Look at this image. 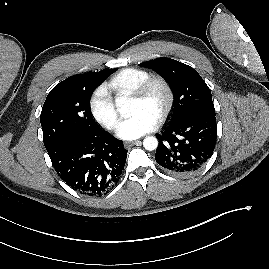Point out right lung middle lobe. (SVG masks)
<instances>
[{
	"label": "right lung middle lobe",
	"mask_w": 269,
	"mask_h": 269,
	"mask_svg": "<svg viewBox=\"0 0 269 269\" xmlns=\"http://www.w3.org/2000/svg\"><path fill=\"white\" fill-rule=\"evenodd\" d=\"M115 70L67 78L49 92L40 115L46 149L64 136L101 129L92 118L89 100L93 91Z\"/></svg>",
	"instance_id": "right-lung-middle-lobe-1"
}]
</instances>
